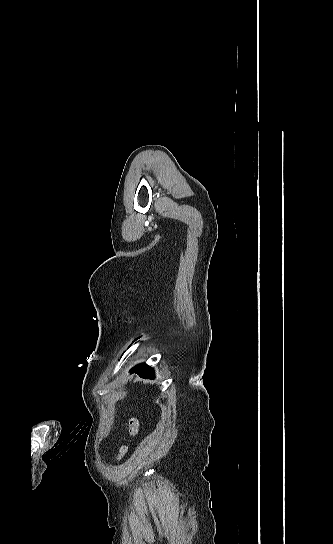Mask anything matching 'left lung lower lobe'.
<instances>
[{"mask_svg": "<svg viewBox=\"0 0 333 544\" xmlns=\"http://www.w3.org/2000/svg\"><path fill=\"white\" fill-rule=\"evenodd\" d=\"M131 373H137L143 378H154V372L151 367L146 364H140L130 370Z\"/></svg>", "mask_w": 333, "mask_h": 544, "instance_id": "0a47b994", "label": "left lung lower lobe"}]
</instances>
